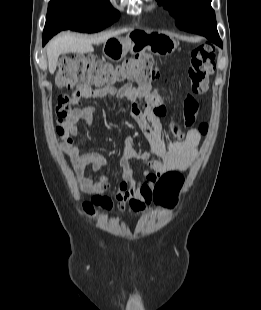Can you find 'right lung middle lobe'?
I'll return each mask as SVG.
<instances>
[{
	"instance_id": "right-lung-middle-lobe-1",
	"label": "right lung middle lobe",
	"mask_w": 261,
	"mask_h": 310,
	"mask_svg": "<svg viewBox=\"0 0 261 310\" xmlns=\"http://www.w3.org/2000/svg\"><path fill=\"white\" fill-rule=\"evenodd\" d=\"M119 16L108 0H51L44 31L98 32L117 21Z\"/></svg>"
}]
</instances>
